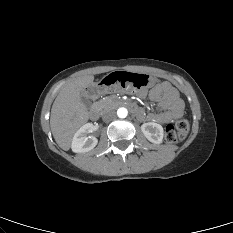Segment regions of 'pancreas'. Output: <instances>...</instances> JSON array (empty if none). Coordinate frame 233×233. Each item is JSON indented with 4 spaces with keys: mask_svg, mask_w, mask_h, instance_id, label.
<instances>
[{
    "mask_svg": "<svg viewBox=\"0 0 233 233\" xmlns=\"http://www.w3.org/2000/svg\"><path fill=\"white\" fill-rule=\"evenodd\" d=\"M95 105L101 110H109V109H114L118 105V100L114 97L108 96L104 97L98 102L95 103Z\"/></svg>",
    "mask_w": 233,
    "mask_h": 233,
    "instance_id": "cf45deb5",
    "label": "pancreas"
}]
</instances>
